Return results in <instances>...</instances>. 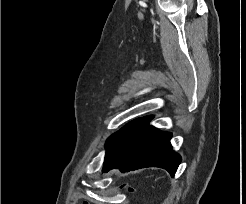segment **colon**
<instances>
[{
	"label": "colon",
	"instance_id": "obj_1",
	"mask_svg": "<svg viewBox=\"0 0 246 204\" xmlns=\"http://www.w3.org/2000/svg\"><path fill=\"white\" fill-rule=\"evenodd\" d=\"M129 190H133L131 187H128ZM83 204H89L88 202H84Z\"/></svg>",
	"mask_w": 246,
	"mask_h": 204
}]
</instances>
